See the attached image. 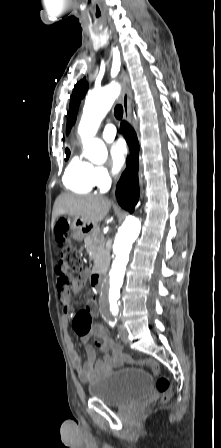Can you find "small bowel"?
<instances>
[{
    "instance_id": "1",
    "label": "small bowel",
    "mask_w": 221,
    "mask_h": 448,
    "mask_svg": "<svg viewBox=\"0 0 221 448\" xmlns=\"http://www.w3.org/2000/svg\"><path fill=\"white\" fill-rule=\"evenodd\" d=\"M56 239L61 243L57 236ZM85 280L86 273L82 272L79 277L71 281L69 289L58 290L63 311L62 325L65 329L68 328L70 323V313L72 311L71 295L81 293ZM90 300L94 304L93 308H90ZM96 314V302L90 297L85 302V308L75 315L72 326L83 343H86L90 336H94L95 345L106 352L103 359H97L94 347L88 345L86 347L88 357L86 360H83L70 336L67 333L65 334L66 346L72 365L76 369L80 380L84 383H90L99 376L120 368L124 363L122 348L108 337L103 326L99 323L91 325L92 317Z\"/></svg>"
}]
</instances>
